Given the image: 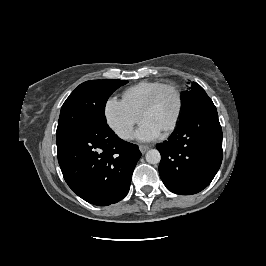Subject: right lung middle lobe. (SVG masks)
<instances>
[{
	"label": "right lung middle lobe",
	"mask_w": 266,
	"mask_h": 266,
	"mask_svg": "<svg viewBox=\"0 0 266 266\" xmlns=\"http://www.w3.org/2000/svg\"><path fill=\"white\" fill-rule=\"evenodd\" d=\"M127 81L91 80L80 84L62 105L56 131L57 146L98 126H108L105 105L110 95Z\"/></svg>",
	"instance_id": "right-lung-middle-lobe-1"
}]
</instances>
